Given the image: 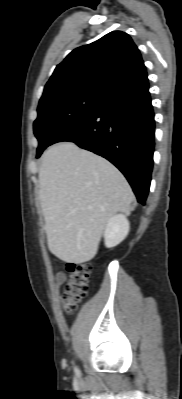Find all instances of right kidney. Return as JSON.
I'll list each match as a JSON object with an SVG mask.
<instances>
[{
	"instance_id": "right-kidney-1",
	"label": "right kidney",
	"mask_w": 182,
	"mask_h": 399,
	"mask_svg": "<svg viewBox=\"0 0 182 399\" xmlns=\"http://www.w3.org/2000/svg\"><path fill=\"white\" fill-rule=\"evenodd\" d=\"M130 224L127 218L118 214L111 217L104 231L105 246L112 248L121 243L128 235Z\"/></svg>"
}]
</instances>
